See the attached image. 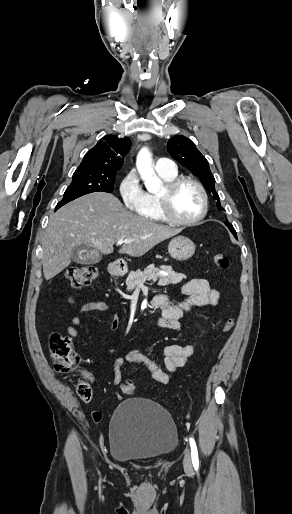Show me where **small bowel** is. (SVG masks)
I'll list each match as a JSON object with an SVG mask.
<instances>
[{"label": "small bowel", "mask_w": 292, "mask_h": 514, "mask_svg": "<svg viewBox=\"0 0 292 514\" xmlns=\"http://www.w3.org/2000/svg\"><path fill=\"white\" fill-rule=\"evenodd\" d=\"M182 293L188 296V300L177 305H170L168 309H162V314L158 320L160 328L169 330H181L185 328L182 322L184 315L192 311L194 308L201 306H210L216 308L219 304V292L212 288L209 283L200 278H194L186 282L182 287ZM108 304L103 300H93L83 304L79 310V314L71 319V325L66 329L69 337L79 339L81 333L77 328L83 323V314L87 312H107ZM119 325V319L114 318L112 329H116ZM195 347L192 343L186 345L170 344L164 349L165 353V369L158 363L151 361L136 351L127 354L126 357H117L113 361V383L119 385L122 382L123 368L126 362L137 363L142 365L148 376L159 384H168L177 369L185 366L188 359L193 355ZM115 398L120 402L125 400L119 391L113 393Z\"/></svg>", "instance_id": "1"}]
</instances>
